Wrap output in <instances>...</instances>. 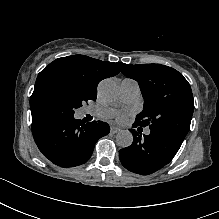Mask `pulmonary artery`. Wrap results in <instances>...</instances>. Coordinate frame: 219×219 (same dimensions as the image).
Returning a JSON list of instances; mask_svg holds the SVG:
<instances>
[{"label": "pulmonary artery", "mask_w": 219, "mask_h": 219, "mask_svg": "<svg viewBox=\"0 0 219 219\" xmlns=\"http://www.w3.org/2000/svg\"><path fill=\"white\" fill-rule=\"evenodd\" d=\"M120 92L122 102L131 103L139 97L140 87L137 81L125 78L120 83ZM85 114H90L100 120H106L115 114V110L111 108H105L101 110L84 109L81 115L84 116ZM145 133L149 134L150 130H146Z\"/></svg>", "instance_id": "e3ab8cb5"}]
</instances>
